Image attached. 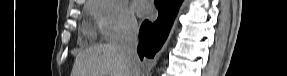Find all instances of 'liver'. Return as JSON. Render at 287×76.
Segmentation results:
<instances>
[{
  "instance_id": "6515ba94",
  "label": "liver",
  "mask_w": 287,
  "mask_h": 76,
  "mask_svg": "<svg viewBox=\"0 0 287 76\" xmlns=\"http://www.w3.org/2000/svg\"><path fill=\"white\" fill-rule=\"evenodd\" d=\"M72 76H130V66L118 43L98 45L79 52Z\"/></svg>"
}]
</instances>
